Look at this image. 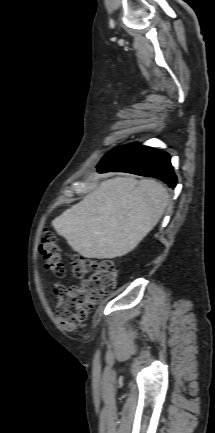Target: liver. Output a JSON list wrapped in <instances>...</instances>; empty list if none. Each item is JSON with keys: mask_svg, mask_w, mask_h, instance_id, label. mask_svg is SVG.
<instances>
[{"mask_svg": "<svg viewBox=\"0 0 215 433\" xmlns=\"http://www.w3.org/2000/svg\"><path fill=\"white\" fill-rule=\"evenodd\" d=\"M168 201L166 188L153 179L116 177L101 182L52 225L85 258L122 257L156 226Z\"/></svg>", "mask_w": 215, "mask_h": 433, "instance_id": "6515ba94", "label": "liver"}]
</instances>
